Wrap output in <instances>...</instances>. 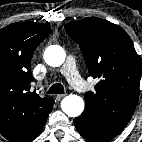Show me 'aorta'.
<instances>
[{
    "label": "aorta",
    "instance_id": "762f6f07",
    "mask_svg": "<svg viewBox=\"0 0 142 142\" xmlns=\"http://www.w3.org/2000/svg\"><path fill=\"white\" fill-rule=\"evenodd\" d=\"M65 56L64 49L59 45H51L44 52L45 62L52 67L61 66ZM61 108L69 117H78L84 110V100L78 95H68L62 100Z\"/></svg>",
    "mask_w": 142,
    "mask_h": 142
}]
</instances>
